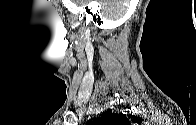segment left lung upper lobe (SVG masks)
Listing matches in <instances>:
<instances>
[{
    "label": "left lung upper lobe",
    "instance_id": "5c2ea615",
    "mask_svg": "<svg viewBox=\"0 0 196 125\" xmlns=\"http://www.w3.org/2000/svg\"><path fill=\"white\" fill-rule=\"evenodd\" d=\"M94 125H129V120L124 114H104L92 122Z\"/></svg>",
    "mask_w": 196,
    "mask_h": 125
}]
</instances>
